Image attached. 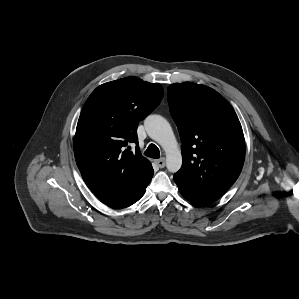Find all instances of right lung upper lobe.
Listing matches in <instances>:
<instances>
[{
	"mask_svg": "<svg viewBox=\"0 0 299 299\" xmlns=\"http://www.w3.org/2000/svg\"><path fill=\"white\" fill-rule=\"evenodd\" d=\"M163 88L134 77L97 87L85 102L74 137V154L83 180L99 198L129 194L153 176L138 148L137 126L163 98ZM136 144V153L125 149Z\"/></svg>",
	"mask_w": 299,
	"mask_h": 299,
	"instance_id": "cb5924a9",
	"label": "right lung upper lobe"
}]
</instances>
